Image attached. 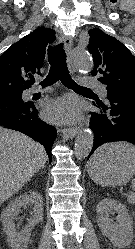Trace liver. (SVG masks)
I'll list each match as a JSON object with an SVG mask.
<instances>
[{"label": "liver", "instance_id": "liver-1", "mask_svg": "<svg viewBox=\"0 0 135 249\" xmlns=\"http://www.w3.org/2000/svg\"><path fill=\"white\" fill-rule=\"evenodd\" d=\"M47 160L41 144L0 127V203L21 190Z\"/></svg>", "mask_w": 135, "mask_h": 249}]
</instances>
